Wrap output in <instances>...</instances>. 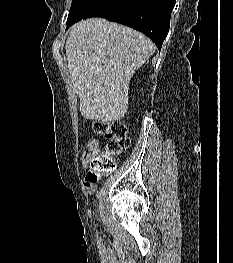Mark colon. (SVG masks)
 <instances>
[{
  "mask_svg": "<svg viewBox=\"0 0 233 263\" xmlns=\"http://www.w3.org/2000/svg\"><path fill=\"white\" fill-rule=\"evenodd\" d=\"M93 130L103 134L107 144L91 163L90 169L85 176L88 183H96L102 174L110 173L115 168V159L121 155L129 146L130 140L127 134V127L119 121H93Z\"/></svg>",
  "mask_w": 233,
  "mask_h": 263,
  "instance_id": "1",
  "label": "colon"
}]
</instances>
